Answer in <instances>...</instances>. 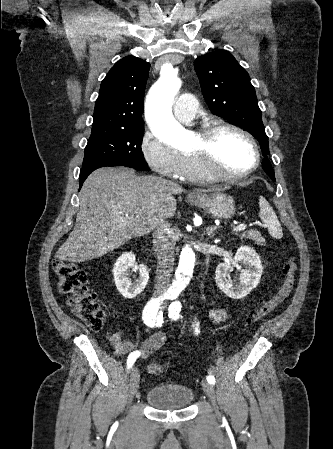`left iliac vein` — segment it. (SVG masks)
Returning <instances> with one entry per match:
<instances>
[{
    "label": "left iliac vein",
    "mask_w": 333,
    "mask_h": 449,
    "mask_svg": "<svg viewBox=\"0 0 333 449\" xmlns=\"http://www.w3.org/2000/svg\"><path fill=\"white\" fill-rule=\"evenodd\" d=\"M201 385H202L203 391L205 392V394L210 399L215 413L218 414V408H217V405H216V396H215L214 387L206 380H202Z\"/></svg>",
    "instance_id": "4c4485c4"
}]
</instances>
